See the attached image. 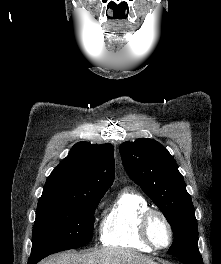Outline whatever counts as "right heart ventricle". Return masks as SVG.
<instances>
[{
    "label": "right heart ventricle",
    "instance_id": "right-heart-ventricle-1",
    "mask_svg": "<svg viewBox=\"0 0 221 264\" xmlns=\"http://www.w3.org/2000/svg\"><path fill=\"white\" fill-rule=\"evenodd\" d=\"M149 208L147 200L133 189L122 190L104 212L100 240L104 246L120 247L142 252L153 249L139 234V220Z\"/></svg>",
    "mask_w": 221,
    "mask_h": 264
}]
</instances>
